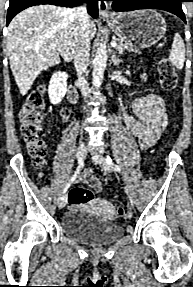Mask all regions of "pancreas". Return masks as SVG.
<instances>
[{
    "label": "pancreas",
    "instance_id": "obj_1",
    "mask_svg": "<svg viewBox=\"0 0 193 287\" xmlns=\"http://www.w3.org/2000/svg\"><path fill=\"white\" fill-rule=\"evenodd\" d=\"M116 42H117L116 50L119 53H124L125 51H134L136 53H139V50H133L132 46L123 39H118L116 40Z\"/></svg>",
    "mask_w": 193,
    "mask_h": 287
}]
</instances>
